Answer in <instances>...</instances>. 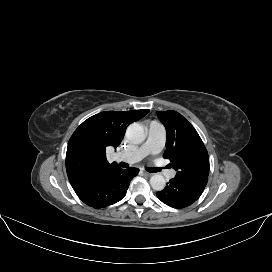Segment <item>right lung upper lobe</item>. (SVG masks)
<instances>
[{
    "label": "right lung upper lobe",
    "instance_id": "1",
    "mask_svg": "<svg viewBox=\"0 0 272 272\" xmlns=\"http://www.w3.org/2000/svg\"><path fill=\"white\" fill-rule=\"evenodd\" d=\"M149 110L106 111L85 120L71 136L66 153V170L72 185L78 186L118 167L106 159V148L121 143L126 128Z\"/></svg>",
    "mask_w": 272,
    "mask_h": 272
}]
</instances>
